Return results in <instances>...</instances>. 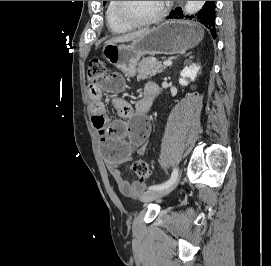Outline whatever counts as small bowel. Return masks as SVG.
<instances>
[{
	"label": "small bowel",
	"mask_w": 271,
	"mask_h": 266,
	"mask_svg": "<svg viewBox=\"0 0 271 266\" xmlns=\"http://www.w3.org/2000/svg\"><path fill=\"white\" fill-rule=\"evenodd\" d=\"M153 83H147L144 96L133 107L126 100L114 97L112 104L120 119L110 122L106 115L103 92L118 93L125 88L124 78L119 72H111L91 81L88 87L91 99L90 115L93 126L101 137L102 151L107 169L115 180L119 190L125 195L139 194L144 184L138 181L130 183L124 179L119 167L130 159L134 148L142 154L149 136L150 125L145 118L153 100L148 92ZM126 119L131 122L125 121Z\"/></svg>",
	"instance_id": "1"
}]
</instances>
